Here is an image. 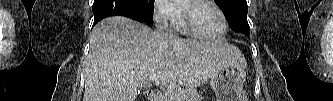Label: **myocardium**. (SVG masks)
<instances>
[{
  "instance_id": "myocardium-1",
  "label": "myocardium",
  "mask_w": 333,
  "mask_h": 101,
  "mask_svg": "<svg viewBox=\"0 0 333 101\" xmlns=\"http://www.w3.org/2000/svg\"><path fill=\"white\" fill-rule=\"evenodd\" d=\"M202 3L211 5L213 8H215V10L220 15L223 27H222V31L219 34L213 35V36L205 35V34L201 33L195 27L193 20H192L191 11L195 6L202 4ZM181 14H182L183 24H184L186 31L195 37H198L201 39H207V40H217V39L222 38L228 30V21H227L226 15L224 14L223 10L214 1H210V0L183 1L181 4Z\"/></svg>"
}]
</instances>
